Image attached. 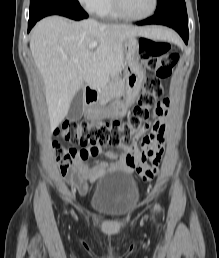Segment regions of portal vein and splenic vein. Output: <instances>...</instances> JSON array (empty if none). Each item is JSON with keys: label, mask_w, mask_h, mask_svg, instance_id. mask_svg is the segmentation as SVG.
<instances>
[{"label": "portal vein and splenic vein", "mask_w": 219, "mask_h": 258, "mask_svg": "<svg viewBox=\"0 0 219 258\" xmlns=\"http://www.w3.org/2000/svg\"><path fill=\"white\" fill-rule=\"evenodd\" d=\"M97 45H98V43H97L96 41H94V42H92V43L89 45V48H90V49H94V48L97 47Z\"/></svg>", "instance_id": "portal-vein-and-splenic-vein-1"}]
</instances>
